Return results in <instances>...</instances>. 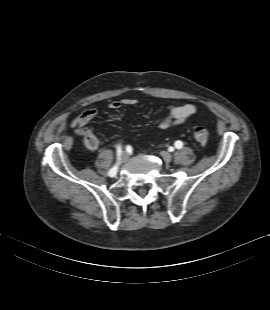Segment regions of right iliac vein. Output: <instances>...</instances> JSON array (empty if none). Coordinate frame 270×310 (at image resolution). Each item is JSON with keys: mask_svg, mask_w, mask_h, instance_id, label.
Segmentation results:
<instances>
[{"mask_svg": "<svg viewBox=\"0 0 270 310\" xmlns=\"http://www.w3.org/2000/svg\"><path fill=\"white\" fill-rule=\"evenodd\" d=\"M127 159H128V154H127L126 152H124V153L122 154L121 160H122V161H126Z\"/></svg>", "mask_w": 270, "mask_h": 310, "instance_id": "1", "label": "right iliac vein"}]
</instances>
